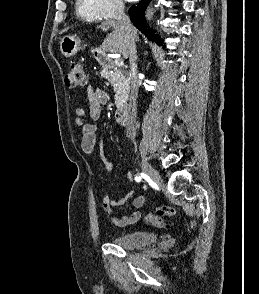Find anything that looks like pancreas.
Wrapping results in <instances>:
<instances>
[{"instance_id":"cf45deb5","label":"pancreas","mask_w":259,"mask_h":294,"mask_svg":"<svg viewBox=\"0 0 259 294\" xmlns=\"http://www.w3.org/2000/svg\"><path fill=\"white\" fill-rule=\"evenodd\" d=\"M102 77L106 78L114 89L115 92V104L122 105L128 99L129 94V79L124 75V72L120 69H113L111 73L107 67H103L101 71Z\"/></svg>"}]
</instances>
